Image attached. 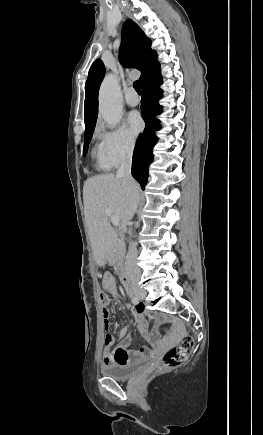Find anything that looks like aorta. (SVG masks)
Wrapping results in <instances>:
<instances>
[{
  "mask_svg": "<svg viewBox=\"0 0 263 435\" xmlns=\"http://www.w3.org/2000/svg\"><path fill=\"white\" fill-rule=\"evenodd\" d=\"M99 112L104 121L115 127L122 118V102L117 79L113 75L104 78L99 90Z\"/></svg>",
  "mask_w": 263,
  "mask_h": 435,
  "instance_id": "1",
  "label": "aorta"
}]
</instances>
